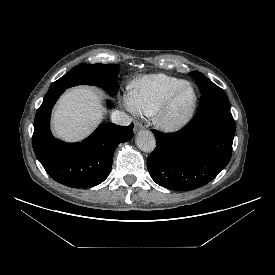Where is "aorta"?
<instances>
[{
	"instance_id": "762f6f07",
	"label": "aorta",
	"mask_w": 275,
	"mask_h": 275,
	"mask_svg": "<svg viewBox=\"0 0 275 275\" xmlns=\"http://www.w3.org/2000/svg\"><path fill=\"white\" fill-rule=\"evenodd\" d=\"M136 144L143 152L150 153L156 147V140L150 131L142 130L136 136Z\"/></svg>"
}]
</instances>
